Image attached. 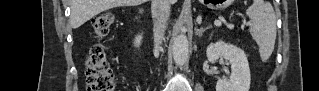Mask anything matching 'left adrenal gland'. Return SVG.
<instances>
[{"mask_svg":"<svg viewBox=\"0 0 319 91\" xmlns=\"http://www.w3.org/2000/svg\"><path fill=\"white\" fill-rule=\"evenodd\" d=\"M209 28H211V26H207L206 28L201 27L200 29H196V34L201 37L203 35V33L208 30Z\"/></svg>","mask_w":319,"mask_h":91,"instance_id":"obj_1","label":"left adrenal gland"}]
</instances>
